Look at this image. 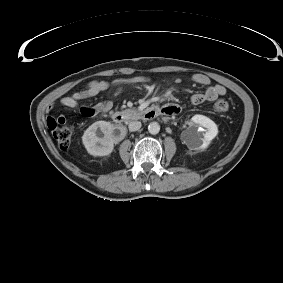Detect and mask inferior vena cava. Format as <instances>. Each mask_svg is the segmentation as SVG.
I'll use <instances>...</instances> for the list:
<instances>
[{
	"label": "inferior vena cava",
	"instance_id": "obj_1",
	"mask_svg": "<svg viewBox=\"0 0 283 283\" xmlns=\"http://www.w3.org/2000/svg\"><path fill=\"white\" fill-rule=\"evenodd\" d=\"M142 124L139 121H131L128 125L129 131H137L141 128Z\"/></svg>",
	"mask_w": 283,
	"mask_h": 283
}]
</instances>
